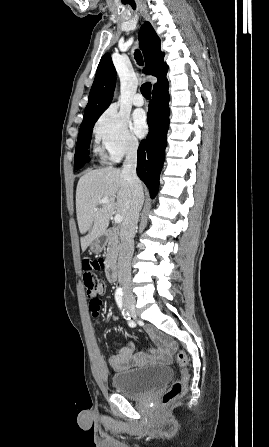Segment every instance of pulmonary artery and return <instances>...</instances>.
<instances>
[{
	"mask_svg": "<svg viewBox=\"0 0 269 447\" xmlns=\"http://www.w3.org/2000/svg\"><path fill=\"white\" fill-rule=\"evenodd\" d=\"M132 103H133L135 106H142V105H144V103H145V99H144V97H143L141 94H135V95L132 97Z\"/></svg>",
	"mask_w": 269,
	"mask_h": 447,
	"instance_id": "1",
	"label": "pulmonary artery"
}]
</instances>
